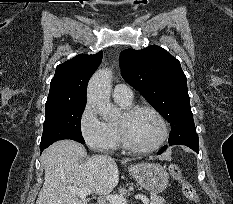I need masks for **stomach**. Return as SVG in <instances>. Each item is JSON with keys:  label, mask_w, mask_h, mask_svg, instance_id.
Returning <instances> with one entry per match:
<instances>
[{"label": "stomach", "mask_w": 233, "mask_h": 204, "mask_svg": "<svg viewBox=\"0 0 233 204\" xmlns=\"http://www.w3.org/2000/svg\"><path fill=\"white\" fill-rule=\"evenodd\" d=\"M129 171L137 183L151 194L164 191L169 182L166 169L156 163L132 165L129 167Z\"/></svg>", "instance_id": "0dacf381"}]
</instances>
